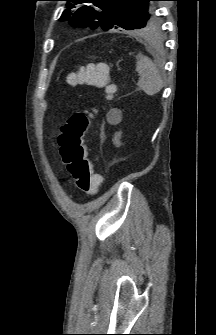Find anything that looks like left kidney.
Masks as SVG:
<instances>
[{"label": "left kidney", "mask_w": 216, "mask_h": 335, "mask_svg": "<svg viewBox=\"0 0 216 335\" xmlns=\"http://www.w3.org/2000/svg\"><path fill=\"white\" fill-rule=\"evenodd\" d=\"M121 135H122V132H121V131L116 132V133L114 134V137H113L112 141H113V144H114L116 147H120L121 144H122L121 141H120V139H121Z\"/></svg>", "instance_id": "5707ae66"}]
</instances>
